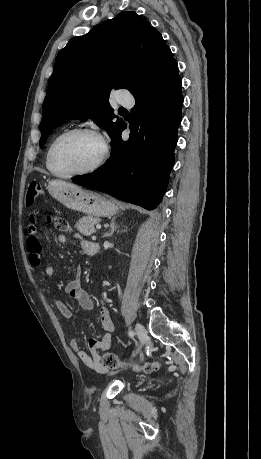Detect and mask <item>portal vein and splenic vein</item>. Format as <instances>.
<instances>
[{
    "mask_svg": "<svg viewBox=\"0 0 261 459\" xmlns=\"http://www.w3.org/2000/svg\"><path fill=\"white\" fill-rule=\"evenodd\" d=\"M96 228H97V229H101V225H100V224H97V225H96Z\"/></svg>",
    "mask_w": 261,
    "mask_h": 459,
    "instance_id": "obj_1",
    "label": "portal vein and splenic vein"
}]
</instances>
